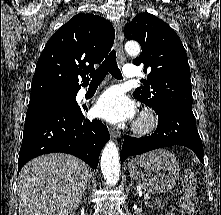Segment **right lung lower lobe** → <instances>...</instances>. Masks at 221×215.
Returning a JSON list of instances; mask_svg holds the SVG:
<instances>
[{
	"mask_svg": "<svg viewBox=\"0 0 221 215\" xmlns=\"http://www.w3.org/2000/svg\"><path fill=\"white\" fill-rule=\"evenodd\" d=\"M85 111L78 105L27 111L18 172L29 160L53 152L77 156L95 169L110 135L100 120L85 119Z\"/></svg>",
	"mask_w": 221,
	"mask_h": 215,
	"instance_id": "98d812e1",
	"label": "right lung lower lobe"
}]
</instances>
